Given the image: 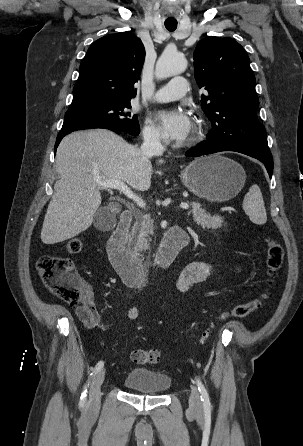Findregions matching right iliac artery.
<instances>
[{
	"mask_svg": "<svg viewBox=\"0 0 303 446\" xmlns=\"http://www.w3.org/2000/svg\"><path fill=\"white\" fill-rule=\"evenodd\" d=\"M104 366V362L103 361H99L97 363V365L95 366V368L93 369L92 373L90 374V378H92L93 376H95ZM89 386V382L85 385L84 390L82 392V395L80 397V403L84 404L86 401V396H87V387Z\"/></svg>",
	"mask_w": 303,
	"mask_h": 446,
	"instance_id": "right-iliac-artery-1",
	"label": "right iliac artery"
}]
</instances>
